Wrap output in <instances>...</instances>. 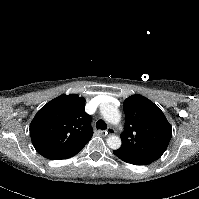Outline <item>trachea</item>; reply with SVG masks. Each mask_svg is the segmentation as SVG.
<instances>
[{
    "mask_svg": "<svg viewBox=\"0 0 199 199\" xmlns=\"http://www.w3.org/2000/svg\"><path fill=\"white\" fill-rule=\"evenodd\" d=\"M97 129L105 130L107 128L106 123L103 120H98L96 123Z\"/></svg>",
    "mask_w": 199,
    "mask_h": 199,
    "instance_id": "3493384b",
    "label": "trachea"
}]
</instances>
